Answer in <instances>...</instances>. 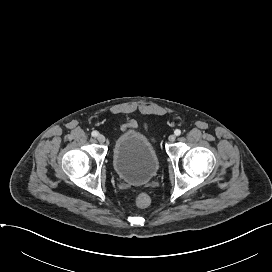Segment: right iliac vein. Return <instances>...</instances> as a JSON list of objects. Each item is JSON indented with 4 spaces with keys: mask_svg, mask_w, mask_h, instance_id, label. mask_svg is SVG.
<instances>
[{
    "mask_svg": "<svg viewBox=\"0 0 272 272\" xmlns=\"http://www.w3.org/2000/svg\"><path fill=\"white\" fill-rule=\"evenodd\" d=\"M97 140L100 142V143H104L105 142V136L102 135V134H99L97 136Z\"/></svg>",
    "mask_w": 272,
    "mask_h": 272,
    "instance_id": "1",
    "label": "right iliac vein"
}]
</instances>
